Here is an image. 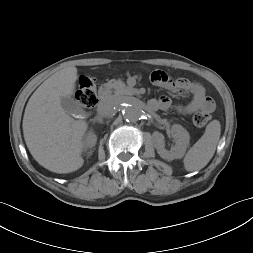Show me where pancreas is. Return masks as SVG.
Returning a JSON list of instances; mask_svg holds the SVG:
<instances>
[{
	"instance_id": "cf45deb5",
	"label": "pancreas",
	"mask_w": 253,
	"mask_h": 253,
	"mask_svg": "<svg viewBox=\"0 0 253 253\" xmlns=\"http://www.w3.org/2000/svg\"><path fill=\"white\" fill-rule=\"evenodd\" d=\"M113 88H114L113 94L115 97L133 94L132 89L126 86V84L121 80L115 81L113 83Z\"/></svg>"
}]
</instances>
